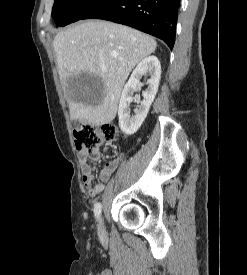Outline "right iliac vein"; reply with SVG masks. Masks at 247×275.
I'll return each instance as SVG.
<instances>
[{
	"label": "right iliac vein",
	"mask_w": 247,
	"mask_h": 275,
	"mask_svg": "<svg viewBox=\"0 0 247 275\" xmlns=\"http://www.w3.org/2000/svg\"><path fill=\"white\" fill-rule=\"evenodd\" d=\"M98 234L100 237H104L106 234L103 218H100L98 222Z\"/></svg>",
	"instance_id": "right-iliac-vein-1"
}]
</instances>
